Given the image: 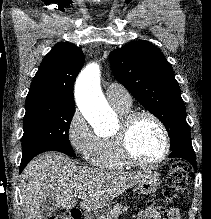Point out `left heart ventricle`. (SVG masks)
<instances>
[{"instance_id": "b2bd125f", "label": "left heart ventricle", "mask_w": 211, "mask_h": 219, "mask_svg": "<svg viewBox=\"0 0 211 219\" xmlns=\"http://www.w3.org/2000/svg\"><path fill=\"white\" fill-rule=\"evenodd\" d=\"M131 149L142 161L158 159L164 148L162 133L157 124L149 117L139 118L131 132Z\"/></svg>"}]
</instances>
